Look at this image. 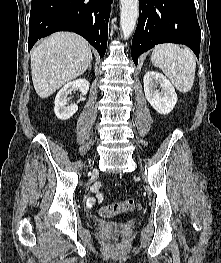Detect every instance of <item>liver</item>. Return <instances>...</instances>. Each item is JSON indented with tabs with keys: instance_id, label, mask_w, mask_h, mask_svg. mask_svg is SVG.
<instances>
[{
	"instance_id": "1",
	"label": "liver",
	"mask_w": 221,
	"mask_h": 263,
	"mask_svg": "<svg viewBox=\"0 0 221 263\" xmlns=\"http://www.w3.org/2000/svg\"><path fill=\"white\" fill-rule=\"evenodd\" d=\"M89 43L70 32L45 38L31 53V74L38 96L47 98L60 87L82 75L89 67Z\"/></svg>"
}]
</instances>
